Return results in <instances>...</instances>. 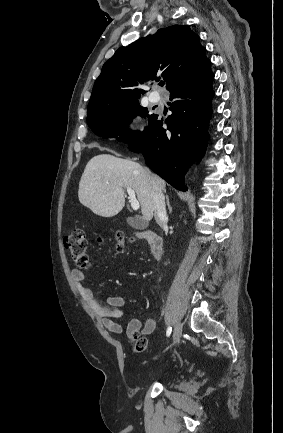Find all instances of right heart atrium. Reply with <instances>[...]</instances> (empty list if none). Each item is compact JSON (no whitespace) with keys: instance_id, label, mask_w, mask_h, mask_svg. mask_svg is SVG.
Segmentation results:
<instances>
[{"instance_id":"d8ad5b80","label":"right heart atrium","mask_w":283,"mask_h":433,"mask_svg":"<svg viewBox=\"0 0 283 433\" xmlns=\"http://www.w3.org/2000/svg\"><path fill=\"white\" fill-rule=\"evenodd\" d=\"M138 128V117L135 114L123 116L118 122V129L122 133L131 134Z\"/></svg>"}]
</instances>
